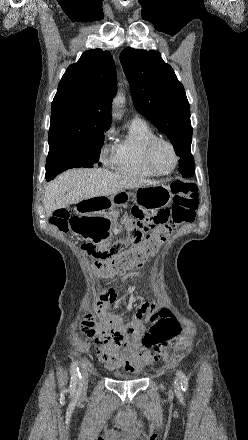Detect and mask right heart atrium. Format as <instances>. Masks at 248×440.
<instances>
[{
	"label": "right heart atrium",
	"mask_w": 248,
	"mask_h": 440,
	"mask_svg": "<svg viewBox=\"0 0 248 440\" xmlns=\"http://www.w3.org/2000/svg\"><path fill=\"white\" fill-rule=\"evenodd\" d=\"M112 135V129H108L105 132V140L100 150V158L106 165H113L115 145L108 143V140L112 137Z\"/></svg>",
	"instance_id": "right-heart-atrium-1"
}]
</instances>
